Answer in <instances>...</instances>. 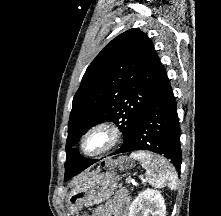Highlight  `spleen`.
I'll return each instance as SVG.
<instances>
[{
  "label": "spleen",
  "mask_w": 221,
  "mask_h": 216,
  "mask_svg": "<svg viewBox=\"0 0 221 216\" xmlns=\"http://www.w3.org/2000/svg\"><path fill=\"white\" fill-rule=\"evenodd\" d=\"M131 157L137 159L146 170L145 175L150 185L156 188L168 186L171 190L177 189V175L167 160L145 151L134 152Z\"/></svg>",
  "instance_id": "3e777b00"
}]
</instances>
